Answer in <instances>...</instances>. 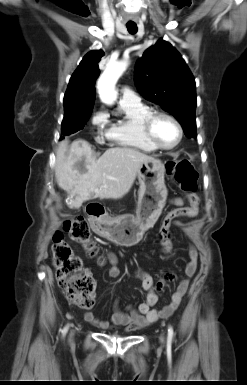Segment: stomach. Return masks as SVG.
Here are the masks:
<instances>
[{
	"label": "stomach",
	"mask_w": 247,
	"mask_h": 385,
	"mask_svg": "<svg viewBox=\"0 0 247 385\" xmlns=\"http://www.w3.org/2000/svg\"><path fill=\"white\" fill-rule=\"evenodd\" d=\"M164 174L165 165L158 159L151 158L141 164L137 172L139 190L136 217L109 218L102 233L105 238L126 247L141 241L166 204L168 191Z\"/></svg>",
	"instance_id": "1"
}]
</instances>
